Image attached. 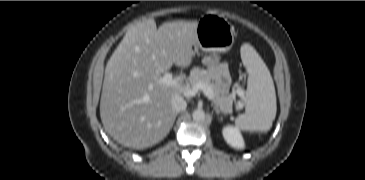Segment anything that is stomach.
Wrapping results in <instances>:
<instances>
[{"instance_id": "0dacf381", "label": "stomach", "mask_w": 365, "mask_h": 180, "mask_svg": "<svg viewBox=\"0 0 365 180\" xmlns=\"http://www.w3.org/2000/svg\"><path fill=\"white\" fill-rule=\"evenodd\" d=\"M234 27L224 18L215 15H204L195 29V39L191 49L193 55L199 51L224 53L234 44Z\"/></svg>"}]
</instances>
